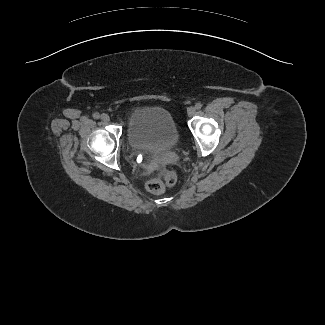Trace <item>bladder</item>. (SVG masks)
Segmentation results:
<instances>
[{"label":"bladder","instance_id":"1","mask_svg":"<svg viewBox=\"0 0 325 325\" xmlns=\"http://www.w3.org/2000/svg\"><path fill=\"white\" fill-rule=\"evenodd\" d=\"M126 133L131 146L152 151L170 150L180 141L172 114L161 107L134 110L128 117Z\"/></svg>","mask_w":325,"mask_h":325}]
</instances>
